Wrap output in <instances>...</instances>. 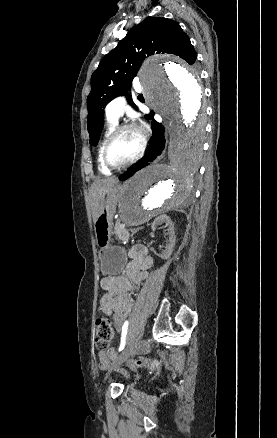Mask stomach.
Here are the masks:
<instances>
[{"label": "stomach", "mask_w": 277, "mask_h": 438, "mask_svg": "<svg viewBox=\"0 0 277 438\" xmlns=\"http://www.w3.org/2000/svg\"><path fill=\"white\" fill-rule=\"evenodd\" d=\"M120 195L121 188L119 186H114L107 192L101 214L94 224L96 241L100 246L101 271L105 275L119 274L127 262L125 249L111 245L113 216Z\"/></svg>", "instance_id": "obj_1"}]
</instances>
